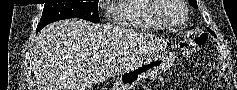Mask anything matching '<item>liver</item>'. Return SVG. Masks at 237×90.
<instances>
[{"label": "liver", "instance_id": "1", "mask_svg": "<svg viewBox=\"0 0 237 90\" xmlns=\"http://www.w3.org/2000/svg\"><path fill=\"white\" fill-rule=\"evenodd\" d=\"M120 30L85 20H61L41 30L35 76L38 90H88L120 70Z\"/></svg>", "mask_w": 237, "mask_h": 90}]
</instances>
